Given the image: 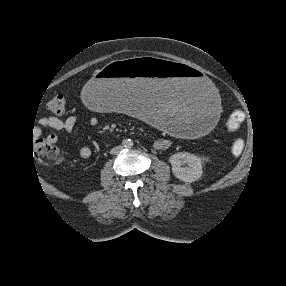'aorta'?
Segmentation results:
<instances>
[{"mask_svg":"<svg viewBox=\"0 0 286 286\" xmlns=\"http://www.w3.org/2000/svg\"><path fill=\"white\" fill-rule=\"evenodd\" d=\"M125 146L126 147H132L133 146V142L131 140H127V141H125Z\"/></svg>","mask_w":286,"mask_h":286,"instance_id":"762f6f07","label":"aorta"}]
</instances>
